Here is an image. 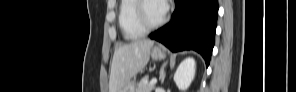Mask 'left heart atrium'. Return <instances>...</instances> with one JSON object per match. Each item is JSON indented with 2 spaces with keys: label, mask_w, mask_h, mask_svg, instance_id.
I'll use <instances>...</instances> for the list:
<instances>
[{
  "label": "left heart atrium",
  "mask_w": 296,
  "mask_h": 92,
  "mask_svg": "<svg viewBox=\"0 0 296 92\" xmlns=\"http://www.w3.org/2000/svg\"><path fill=\"white\" fill-rule=\"evenodd\" d=\"M159 5H160L161 12L165 14L168 8L167 2L166 1L159 2Z\"/></svg>",
  "instance_id": "left-heart-atrium-1"
}]
</instances>
